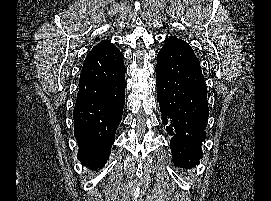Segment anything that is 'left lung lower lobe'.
Wrapping results in <instances>:
<instances>
[{
  "instance_id": "0a47b994",
  "label": "left lung lower lobe",
  "mask_w": 271,
  "mask_h": 201,
  "mask_svg": "<svg viewBox=\"0 0 271 201\" xmlns=\"http://www.w3.org/2000/svg\"><path fill=\"white\" fill-rule=\"evenodd\" d=\"M157 100L170 136L175 165L190 169L202 158L209 115L200 62L192 48L177 37L165 39L156 66Z\"/></svg>"
}]
</instances>
